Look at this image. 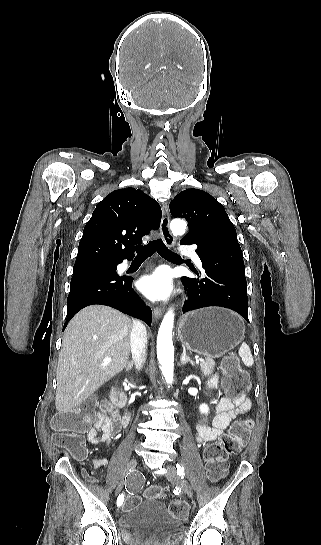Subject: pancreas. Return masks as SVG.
Returning <instances> with one entry per match:
<instances>
[{"label":"pancreas","instance_id":"obj_1","mask_svg":"<svg viewBox=\"0 0 321 545\" xmlns=\"http://www.w3.org/2000/svg\"><path fill=\"white\" fill-rule=\"evenodd\" d=\"M216 363L213 361V359H206V361H203V363H200V369L205 375V377H209V375H213L214 373V367Z\"/></svg>","mask_w":321,"mask_h":545}]
</instances>
